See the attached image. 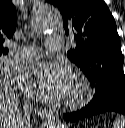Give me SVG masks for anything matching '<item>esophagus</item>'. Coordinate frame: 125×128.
Wrapping results in <instances>:
<instances>
[{"instance_id": "1", "label": "esophagus", "mask_w": 125, "mask_h": 128, "mask_svg": "<svg viewBox=\"0 0 125 128\" xmlns=\"http://www.w3.org/2000/svg\"><path fill=\"white\" fill-rule=\"evenodd\" d=\"M39 115L41 119H49L51 117V112L46 109H39Z\"/></svg>"}]
</instances>
